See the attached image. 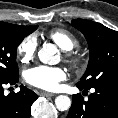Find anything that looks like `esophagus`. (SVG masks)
<instances>
[{
  "label": "esophagus",
  "mask_w": 118,
  "mask_h": 118,
  "mask_svg": "<svg viewBox=\"0 0 118 118\" xmlns=\"http://www.w3.org/2000/svg\"><path fill=\"white\" fill-rule=\"evenodd\" d=\"M39 95L40 96H44V97H53V96H55V94L49 93V92H45V91H40Z\"/></svg>",
  "instance_id": "obj_1"
}]
</instances>
